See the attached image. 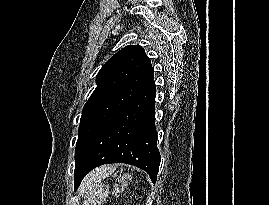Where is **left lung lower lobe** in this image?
<instances>
[{
	"instance_id": "left-lung-lower-lobe-1",
	"label": "left lung lower lobe",
	"mask_w": 269,
	"mask_h": 205,
	"mask_svg": "<svg viewBox=\"0 0 269 205\" xmlns=\"http://www.w3.org/2000/svg\"><path fill=\"white\" fill-rule=\"evenodd\" d=\"M155 94L152 82L95 133L75 165V190L91 170L109 163L134 165L157 180L161 157L156 145Z\"/></svg>"
}]
</instances>
